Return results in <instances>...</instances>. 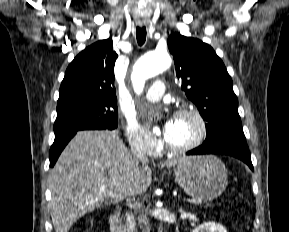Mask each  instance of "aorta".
I'll return each mask as SVG.
<instances>
[{
    "instance_id": "1",
    "label": "aorta",
    "mask_w": 289,
    "mask_h": 232,
    "mask_svg": "<svg viewBox=\"0 0 289 232\" xmlns=\"http://www.w3.org/2000/svg\"><path fill=\"white\" fill-rule=\"evenodd\" d=\"M171 58L167 52L153 51L143 55L135 64L131 80L137 94L143 91L145 81L168 69ZM155 131H158L155 128Z\"/></svg>"
}]
</instances>
